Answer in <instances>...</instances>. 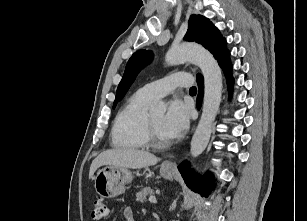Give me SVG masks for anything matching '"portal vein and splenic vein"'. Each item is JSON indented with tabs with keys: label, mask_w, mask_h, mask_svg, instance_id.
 <instances>
[{
	"label": "portal vein and splenic vein",
	"mask_w": 307,
	"mask_h": 221,
	"mask_svg": "<svg viewBox=\"0 0 307 221\" xmlns=\"http://www.w3.org/2000/svg\"><path fill=\"white\" fill-rule=\"evenodd\" d=\"M149 201L152 203H157L156 198L154 196H150Z\"/></svg>",
	"instance_id": "1"
}]
</instances>
